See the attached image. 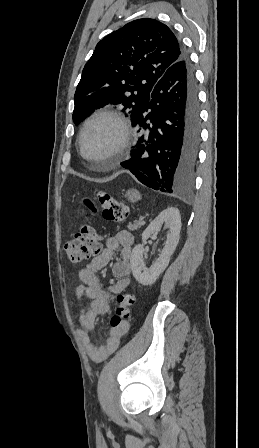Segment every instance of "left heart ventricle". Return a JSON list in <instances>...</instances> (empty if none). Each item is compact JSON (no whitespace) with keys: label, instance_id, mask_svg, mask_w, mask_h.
Listing matches in <instances>:
<instances>
[{"label":"left heart ventricle","instance_id":"obj_1","mask_svg":"<svg viewBox=\"0 0 259 448\" xmlns=\"http://www.w3.org/2000/svg\"><path fill=\"white\" fill-rule=\"evenodd\" d=\"M118 128L109 120H100L87 129L82 140V157L89 162L107 160L108 148L117 137Z\"/></svg>","mask_w":259,"mask_h":448}]
</instances>
